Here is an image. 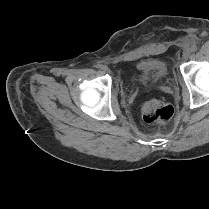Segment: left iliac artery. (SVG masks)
<instances>
[{
    "instance_id": "obj_1",
    "label": "left iliac artery",
    "mask_w": 209,
    "mask_h": 209,
    "mask_svg": "<svg viewBox=\"0 0 209 209\" xmlns=\"http://www.w3.org/2000/svg\"><path fill=\"white\" fill-rule=\"evenodd\" d=\"M191 51H192V52H196V51H197V45H196V44H193V45L191 46Z\"/></svg>"
}]
</instances>
